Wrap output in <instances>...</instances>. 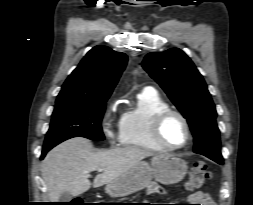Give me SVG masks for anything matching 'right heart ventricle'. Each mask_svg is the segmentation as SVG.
<instances>
[{"instance_id":"e07e8e85","label":"right heart ventricle","mask_w":253,"mask_h":205,"mask_svg":"<svg viewBox=\"0 0 253 205\" xmlns=\"http://www.w3.org/2000/svg\"><path fill=\"white\" fill-rule=\"evenodd\" d=\"M168 103L151 88L143 89L137 96V106L125 112L119 120V143L124 147L148 151H163L151 136L154 117L169 109Z\"/></svg>"}]
</instances>
